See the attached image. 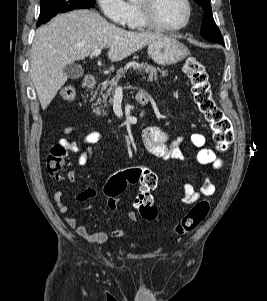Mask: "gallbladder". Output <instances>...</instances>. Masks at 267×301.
<instances>
[{"label":"gallbladder","mask_w":267,"mask_h":301,"mask_svg":"<svg viewBox=\"0 0 267 301\" xmlns=\"http://www.w3.org/2000/svg\"><path fill=\"white\" fill-rule=\"evenodd\" d=\"M63 71L67 75V77L72 80L79 79V78L83 77V75H84V71H83L82 67L75 63L67 64L63 68Z\"/></svg>","instance_id":"obj_1"}]
</instances>
